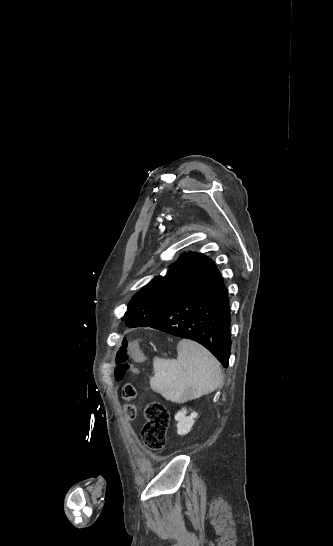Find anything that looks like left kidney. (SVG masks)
Wrapping results in <instances>:
<instances>
[{"mask_svg": "<svg viewBox=\"0 0 333 546\" xmlns=\"http://www.w3.org/2000/svg\"><path fill=\"white\" fill-rule=\"evenodd\" d=\"M187 409L182 408L180 411L175 414V420L177 421V433L179 435H185L190 432L194 419L197 417L196 412H192L190 416H186Z\"/></svg>", "mask_w": 333, "mask_h": 546, "instance_id": "1", "label": "left kidney"}]
</instances>
